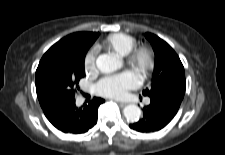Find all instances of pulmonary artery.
Segmentation results:
<instances>
[{
  "instance_id": "pulmonary-artery-1",
  "label": "pulmonary artery",
  "mask_w": 225,
  "mask_h": 155,
  "mask_svg": "<svg viewBox=\"0 0 225 155\" xmlns=\"http://www.w3.org/2000/svg\"><path fill=\"white\" fill-rule=\"evenodd\" d=\"M146 103L148 104L149 103V100H147Z\"/></svg>"
}]
</instances>
